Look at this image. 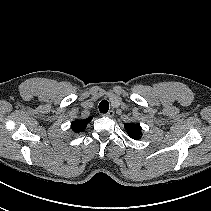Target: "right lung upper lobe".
I'll use <instances>...</instances> for the list:
<instances>
[{"instance_id": "obj_1", "label": "right lung upper lobe", "mask_w": 211, "mask_h": 211, "mask_svg": "<svg viewBox=\"0 0 211 211\" xmlns=\"http://www.w3.org/2000/svg\"><path fill=\"white\" fill-rule=\"evenodd\" d=\"M92 120V117H89L87 119H83V120H76V121H73L71 123V128L72 130L75 132V133H80L82 132L87 124Z\"/></svg>"}]
</instances>
